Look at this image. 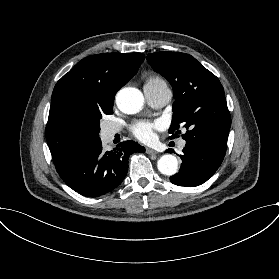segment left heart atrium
I'll return each instance as SVG.
<instances>
[{"mask_svg": "<svg viewBox=\"0 0 279 279\" xmlns=\"http://www.w3.org/2000/svg\"><path fill=\"white\" fill-rule=\"evenodd\" d=\"M156 127L157 125L154 123L138 121L132 125L131 132L137 139L148 142L153 138L154 129Z\"/></svg>", "mask_w": 279, "mask_h": 279, "instance_id": "39dd6f15", "label": "left heart atrium"}]
</instances>
